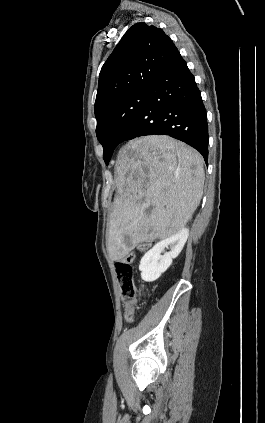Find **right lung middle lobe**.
Segmentation results:
<instances>
[{"label": "right lung middle lobe", "mask_w": 265, "mask_h": 423, "mask_svg": "<svg viewBox=\"0 0 265 423\" xmlns=\"http://www.w3.org/2000/svg\"><path fill=\"white\" fill-rule=\"evenodd\" d=\"M150 89L134 92L105 109L97 119L96 135L104 148V161L108 165L118 140L148 100Z\"/></svg>", "instance_id": "obj_1"}]
</instances>
